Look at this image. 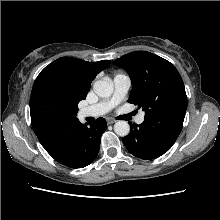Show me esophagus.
Listing matches in <instances>:
<instances>
[{
	"label": "esophagus",
	"mask_w": 220,
	"mask_h": 220,
	"mask_svg": "<svg viewBox=\"0 0 220 220\" xmlns=\"http://www.w3.org/2000/svg\"><path fill=\"white\" fill-rule=\"evenodd\" d=\"M115 122H116V120H114V119H108V120H107V123H108L109 125L114 124Z\"/></svg>",
	"instance_id": "34e87169"
}]
</instances>
